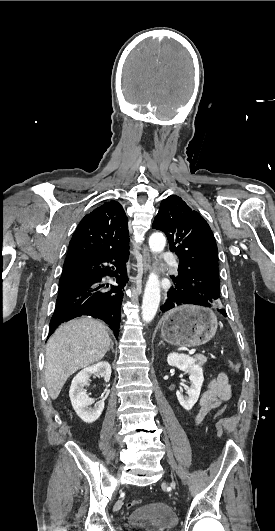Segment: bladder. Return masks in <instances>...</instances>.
<instances>
[{"label": "bladder", "mask_w": 275, "mask_h": 531, "mask_svg": "<svg viewBox=\"0 0 275 531\" xmlns=\"http://www.w3.org/2000/svg\"><path fill=\"white\" fill-rule=\"evenodd\" d=\"M129 522L136 531H172L178 518L166 503H145L130 513Z\"/></svg>", "instance_id": "31cf9c89"}]
</instances>
